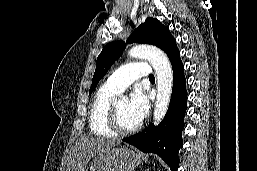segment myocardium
<instances>
[{"instance_id":"f54148a6","label":"myocardium","mask_w":257,"mask_h":171,"mask_svg":"<svg viewBox=\"0 0 257 171\" xmlns=\"http://www.w3.org/2000/svg\"><path fill=\"white\" fill-rule=\"evenodd\" d=\"M108 123L109 127L112 129L113 132L119 135H127L134 133L138 131L141 127V122H139L137 125L126 128L123 127L120 123L117 108H116V102H112L109 107V116H108Z\"/></svg>"}]
</instances>
